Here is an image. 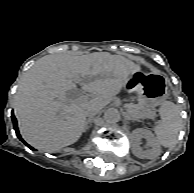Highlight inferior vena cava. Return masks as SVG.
Returning <instances> with one entry per match:
<instances>
[{"label": "inferior vena cava", "mask_w": 194, "mask_h": 193, "mask_svg": "<svg viewBox=\"0 0 194 193\" xmlns=\"http://www.w3.org/2000/svg\"><path fill=\"white\" fill-rule=\"evenodd\" d=\"M99 109H92V110H89L87 111V117L90 119V118H93L95 115H97L99 113Z\"/></svg>", "instance_id": "602c4592"}]
</instances>
